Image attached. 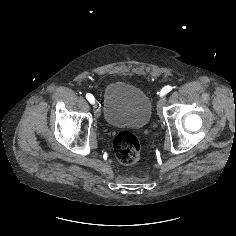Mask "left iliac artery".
Here are the masks:
<instances>
[{
	"label": "left iliac artery",
	"instance_id": "left-iliac-artery-1",
	"mask_svg": "<svg viewBox=\"0 0 236 236\" xmlns=\"http://www.w3.org/2000/svg\"><path fill=\"white\" fill-rule=\"evenodd\" d=\"M171 90H172L171 86H165L162 88L160 95L163 96V95L167 94L168 92H170Z\"/></svg>",
	"mask_w": 236,
	"mask_h": 236
}]
</instances>
